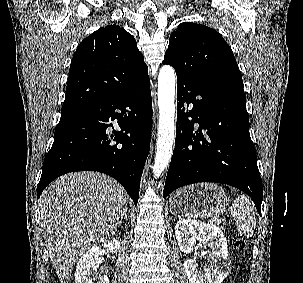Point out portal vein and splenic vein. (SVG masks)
Segmentation results:
<instances>
[{"label": "portal vein and splenic vein", "mask_w": 303, "mask_h": 283, "mask_svg": "<svg viewBox=\"0 0 303 283\" xmlns=\"http://www.w3.org/2000/svg\"><path fill=\"white\" fill-rule=\"evenodd\" d=\"M212 222H215L216 224H220V223H221V220L218 219V218H213V219H212Z\"/></svg>", "instance_id": "obj_1"}]
</instances>
